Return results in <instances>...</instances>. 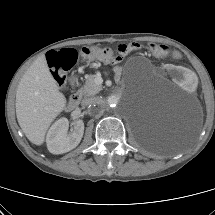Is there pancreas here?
<instances>
[{
  "label": "pancreas",
  "mask_w": 215,
  "mask_h": 215,
  "mask_svg": "<svg viewBox=\"0 0 215 215\" xmlns=\"http://www.w3.org/2000/svg\"><path fill=\"white\" fill-rule=\"evenodd\" d=\"M85 79L86 81L84 86L78 90L79 96H84V97L92 96L102 90V86L95 83L94 75H86Z\"/></svg>",
  "instance_id": "pancreas-1"
}]
</instances>
